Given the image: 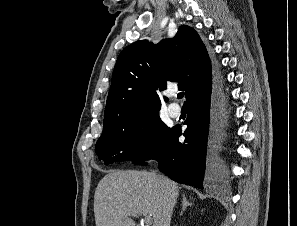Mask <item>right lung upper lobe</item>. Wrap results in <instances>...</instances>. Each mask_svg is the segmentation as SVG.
Wrapping results in <instances>:
<instances>
[{
  "label": "right lung upper lobe",
  "mask_w": 297,
  "mask_h": 226,
  "mask_svg": "<svg viewBox=\"0 0 297 226\" xmlns=\"http://www.w3.org/2000/svg\"><path fill=\"white\" fill-rule=\"evenodd\" d=\"M167 81H179L187 100L212 83V67L206 47L189 26L179 27L172 39L156 45L147 40L137 41L120 53L104 117L111 113L125 117L159 110L161 100L157 91L165 90Z\"/></svg>",
  "instance_id": "1"
}]
</instances>
